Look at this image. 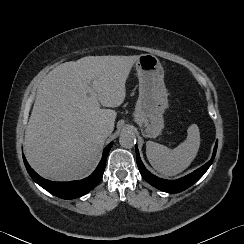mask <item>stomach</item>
Masks as SVG:
<instances>
[{
  "label": "stomach",
  "instance_id": "obj_1",
  "mask_svg": "<svg viewBox=\"0 0 244 244\" xmlns=\"http://www.w3.org/2000/svg\"><path fill=\"white\" fill-rule=\"evenodd\" d=\"M139 78V98L134 111V120L143 135L158 137L165 127V114L169 108L164 84V69L153 54H141L136 61Z\"/></svg>",
  "mask_w": 244,
  "mask_h": 244
}]
</instances>
